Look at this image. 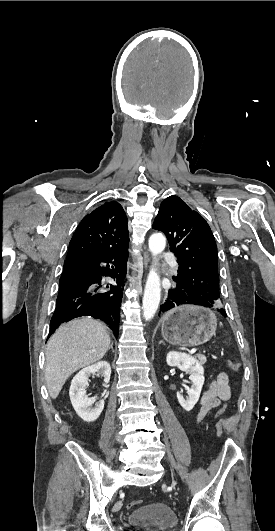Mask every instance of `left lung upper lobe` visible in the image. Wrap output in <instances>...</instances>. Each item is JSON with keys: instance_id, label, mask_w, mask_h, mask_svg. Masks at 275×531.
Returning a JSON list of instances; mask_svg holds the SVG:
<instances>
[{"instance_id": "left-lung-upper-lobe-1", "label": "left lung upper lobe", "mask_w": 275, "mask_h": 531, "mask_svg": "<svg viewBox=\"0 0 275 531\" xmlns=\"http://www.w3.org/2000/svg\"><path fill=\"white\" fill-rule=\"evenodd\" d=\"M153 229L162 231L178 259L176 287L170 291L191 304L213 307L218 303L217 246L205 219L179 197L162 201Z\"/></svg>"}]
</instances>
